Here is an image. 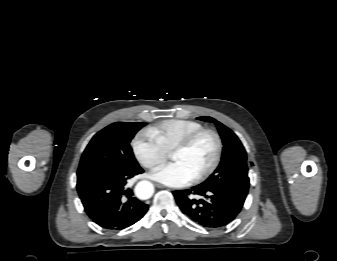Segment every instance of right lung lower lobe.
<instances>
[{"label": "right lung lower lobe", "instance_id": "right-lung-lower-lobe-1", "mask_svg": "<svg viewBox=\"0 0 337 261\" xmlns=\"http://www.w3.org/2000/svg\"><path fill=\"white\" fill-rule=\"evenodd\" d=\"M143 173L141 167L118 176L91 183L78 193L87 215L99 226L122 230L139 221L148 205L134 197L128 181Z\"/></svg>", "mask_w": 337, "mask_h": 261}]
</instances>
